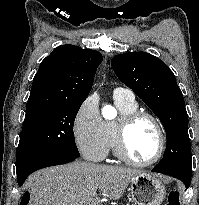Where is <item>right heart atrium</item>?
Masks as SVG:
<instances>
[{
	"label": "right heart atrium",
	"mask_w": 199,
	"mask_h": 205,
	"mask_svg": "<svg viewBox=\"0 0 199 205\" xmlns=\"http://www.w3.org/2000/svg\"><path fill=\"white\" fill-rule=\"evenodd\" d=\"M72 132L76 147L84 158L92 162L105 159L107 136L95 97H87L81 103L73 120Z\"/></svg>",
	"instance_id": "d8ad5b80"
}]
</instances>
